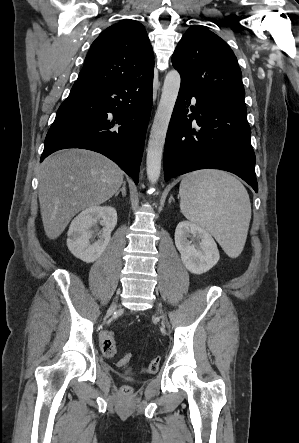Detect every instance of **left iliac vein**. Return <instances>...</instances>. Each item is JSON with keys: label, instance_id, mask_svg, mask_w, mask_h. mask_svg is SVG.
<instances>
[{"label": "left iliac vein", "instance_id": "obj_1", "mask_svg": "<svg viewBox=\"0 0 299 443\" xmlns=\"http://www.w3.org/2000/svg\"><path fill=\"white\" fill-rule=\"evenodd\" d=\"M158 311H159L160 317L162 319V323L164 325L165 324V316H164L163 311L160 306H158Z\"/></svg>", "mask_w": 299, "mask_h": 443}]
</instances>
